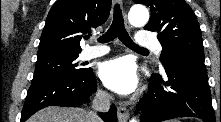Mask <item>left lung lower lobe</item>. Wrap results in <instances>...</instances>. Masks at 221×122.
Here are the masks:
<instances>
[{
  "label": "left lung lower lobe",
  "instance_id": "1",
  "mask_svg": "<svg viewBox=\"0 0 221 122\" xmlns=\"http://www.w3.org/2000/svg\"><path fill=\"white\" fill-rule=\"evenodd\" d=\"M168 81L153 74L147 96L140 103L141 122L193 116L216 122L204 63L188 59L170 60L164 65Z\"/></svg>",
  "mask_w": 221,
  "mask_h": 122
}]
</instances>
